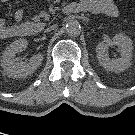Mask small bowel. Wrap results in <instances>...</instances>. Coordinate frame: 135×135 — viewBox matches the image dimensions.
I'll return each instance as SVG.
<instances>
[{
  "label": "small bowel",
  "mask_w": 135,
  "mask_h": 135,
  "mask_svg": "<svg viewBox=\"0 0 135 135\" xmlns=\"http://www.w3.org/2000/svg\"><path fill=\"white\" fill-rule=\"evenodd\" d=\"M7 2L8 0H0ZM84 7L92 13H101L109 17L118 15V8L113 0H86ZM24 11L18 9L14 15L15 24H8L5 19L0 18V39H6L20 34L18 23L23 19Z\"/></svg>",
  "instance_id": "1"
}]
</instances>
